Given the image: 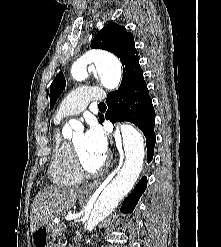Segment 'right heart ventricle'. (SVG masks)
Masks as SVG:
<instances>
[{"label": "right heart ventricle", "instance_id": "obj_1", "mask_svg": "<svg viewBox=\"0 0 221 247\" xmlns=\"http://www.w3.org/2000/svg\"><path fill=\"white\" fill-rule=\"evenodd\" d=\"M48 174L50 180L59 186H76L82 180V175L76 167L69 143L61 136L58 129L53 134V152Z\"/></svg>", "mask_w": 221, "mask_h": 247}]
</instances>
